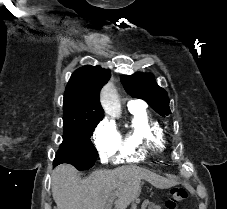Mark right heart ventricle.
Returning <instances> with one entry per match:
<instances>
[{
    "label": "right heart ventricle",
    "mask_w": 227,
    "mask_h": 209,
    "mask_svg": "<svg viewBox=\"0 0 227 209\" xmlns=\"http://www.w3.org/2000/svg\"><path fill=\"white\" fill-rule=\"evenodd\" d=\"M129 125L120 140L112 161L115 164L138 163L153 154L162 153L167 140L161 124L145 110L128 105Z\"/></svg>",
    "instance_id": "obj_1"
}]
</instances>
